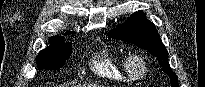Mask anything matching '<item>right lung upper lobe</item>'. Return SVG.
<instances>
[{
	"label": "right lung upper lobe",
	"mask_w": 205,
	"mask_h": 87,
	"mask_svg": "<svg viewBox=\"0 0 205 87\" xmlns=\"http://www.w3.org/2000/svg\"><path fill=\"white\" fill-rule=\"evenodd\" d=\"M71 33H74V32H71V31H68L66 33V35L68 34H71ZM50 43L51 44H58V43H62L64 41V37H57V36H54V37H50ZM68 44H71V43H68Z\"/></svg>",
	"instance_id": "right-lung-upper-lobe-1"
}]
</instances>
